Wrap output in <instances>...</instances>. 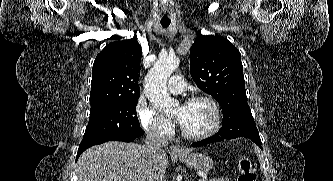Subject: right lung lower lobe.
Wrapping results in <instances>:
<instances>
[{"label":"right lung lower lobe","instance_id":"obj_1","mask_svg":"<svg viewBox=\"0 0 333 181\" xmlns=\"http://www.w3.org/2000/svg\"><path fill=\"white\" fill-rule=\"evenodd\" d=\"M138 137H126V138H117V139H105V140H98V141H94L91 142L89 144H82L79 146L78 152H77V158L81 155V153H83L87 148L93 146V145H97V144H101L104 143L106 141H123V142H131L133 140H135Z\"/></svg>","mask_w":333,"mask_h":181}]
</instances>
